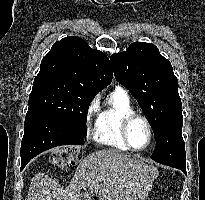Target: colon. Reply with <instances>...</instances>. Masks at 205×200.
<instances>
[{"mask_svg":"<svg viewBox=\"0 0 205 200\" xmlns=\"http://www.w3.org/2000/svg\"><path fill=\"white\" fill-rule=\"evenodd\" d=\"M78 160V151L72 147H66L54 152L50 157L51 164L59 169H67L74 166Z\"/></svg>","mask_w":205,"mask_h":200,"instance_id":"1","label":"colon"}]
</instances>
